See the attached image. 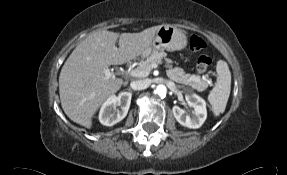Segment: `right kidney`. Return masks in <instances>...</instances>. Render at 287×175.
<instances>
[{
  "mask_svg": "<svg viewBox=\"0 0 287 175\" xmlns=\"http://www.w3.org/2000/svg\"><path fill=\"white\" fill-rule=\"evenodd\" d=\"M132 94L122 92L118 96H110L102 105L99 112V121L105 126H113L123 120L129 110ZM119 106V109L116 107Z\"/></svg>",
  "mask_w": 287,
  "mask_h": 175,
  "instance_id": "right-kidney-1",
  "label": "right kidney"
}]
</instances>
